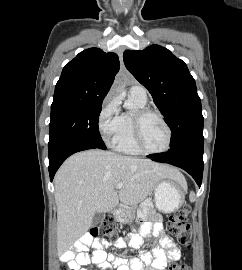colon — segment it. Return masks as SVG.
<instances>
[{
	"mask_svg": "<svg viewBox=\"0 0 242 270\" xmlns=\"http://www.w3.org/2000/svg\"><path fill=\"white\" fill-rule=\"evenodd\" d=\"M190 208L182 206L177 209L169 218L168 233L180 244L189 246L191 242V227L187 222ZM88 235L95 240H114L117 235V226L112 218H106L101 224L92 229ZM60 270H68L61 264ZM169 270H191L190 266L185 263H174Z\"/></svg>",
	"mask_w": 242,
	"mask_h": 270,
	"instance_id": "5ec220e1",
	"label": "colon"
}]
</instances>
